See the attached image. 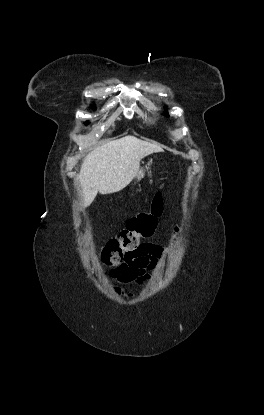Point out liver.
<instances>
[{"mask_svg":"<svg viewBox=\"0 0 264 415\" xmlns=\"http://www.w3.org/2000/svg\"><path fill=\"white\" fill-rule=\"evenodd\" d=\"M162 148L128 135L105 143L83 160L77 180L83 207H88L97 193L111 194L124 189L136 177L140 161Z\"/></svg>","mask_w":264,"mask_h":415,"instance_id":"1","label":"liver"}]
</instances>
